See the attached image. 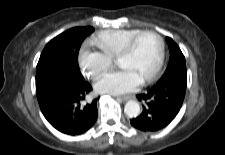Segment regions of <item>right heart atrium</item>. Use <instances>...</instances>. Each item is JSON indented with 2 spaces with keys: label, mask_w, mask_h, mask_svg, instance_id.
<instances>
[{
  "label": "right heart atrium",
  "mask_w": 225,
  "mask_h": 155,
  "mask_svg": "<svg viewBox=\"0 0 225 155\" xmlns=\"http://www.w3.org/2000/svg\"><path fill=\"white\" fill-rule=\"evenodd\" d=\"M78 62L83 75L95 80L110 68L112 59L98 50L91 49L89 45L84 44L79 50Z\"/></svg>",
  "instance_id": "d8ad5b80"
}]
</instances>
